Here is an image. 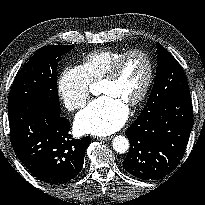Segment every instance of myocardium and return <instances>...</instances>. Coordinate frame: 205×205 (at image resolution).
I'll use <instances>...</instances> for the list:
<instances>
[{
  "label": "myocardium",
  "instance_id": "obj_1",
  "mask_svg": "<svg viewBox=\"0 0 205 205\" xmlns=\"http://www.w3.org/2000/svg\"><path fill=\"white\" fill-rule=\"evenodd\" d=\"M133 55H140L146 59L147 64H148V72H147V77H146V80H145V83H144V86L141 92L134 100H132L131 102L127 104L128 107L139 105L145 99L150 89L153 76H154V63L149 53H147L144 50H140V49H132V50L126 51L111 65L108 72L99 80L100 83L114 81L117 78L124 61Z\"/></svg>",
  "mask_w": 205,
  "mask_h": 205
}]
</instances>
